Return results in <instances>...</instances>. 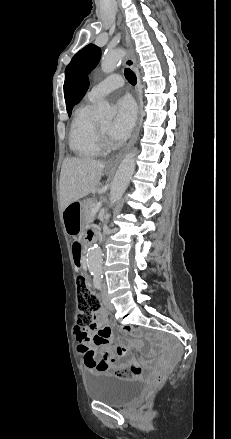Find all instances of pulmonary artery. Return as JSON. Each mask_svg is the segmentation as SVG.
I'll use <instances>...</instances> for the list:
<instances>
[{
	"mask_svg": "<svg viewBox=\"0 0 231 439\" xmlns=\"http://www.w3.org/2000/svg\"><path fill=\"white\" fill-rule=\"evenodd\" d=\"M123 84L124 79L120 74H111L91 88L88 99L91 101L99 100L113 90L122 87Z\"/></svg>",
	"mask_w": 231,
	"mask_h": 439,
	"instance_id": "1",
	"label": "pulmonary artery"
}]
</instances>
